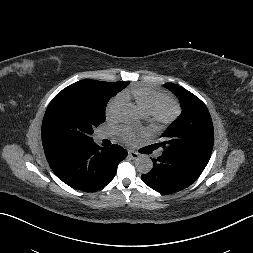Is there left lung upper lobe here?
Wrapping results in <instances>:
<instances>
[{
	"label": "left lung upper lobe",
	"mask_w": 253,
	"mask_h": 253,
	"mask_svg": "<svg viewBox=\"0 0 253 253\" xmlns=\"http://www.w3.org/2000/svg\"><path fill=\"white\" fill-rule=\"evenodd\" d=\"M166 86L179 99L182 114L162 134L165 154L206 167L213 148L214 129L206 105L188 90L172 83Z\"/></svg>",
	"instance_id": "left-lung-upper-lobe-1"
}]
</instances>
